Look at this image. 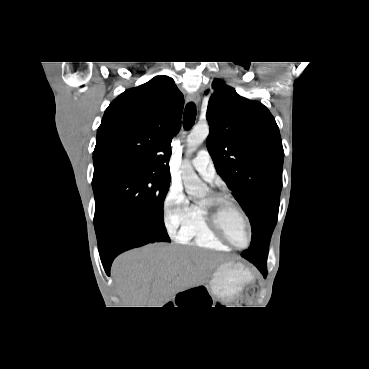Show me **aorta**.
Returning <instances> with one entry per match:
<instances>
[{"mask_svg": "<svg viewBox=\"0 0 369 369\" xmlns=\"http://www.w3.org/2000/svg\"><path fill=\"white\" fill-rule=\"evenodd\" d=\"M208 135V125H196L193 128L187 136V157L198 148ZM181 175L188 195L202 197L206 194L208 190L206 184L198 178L188 159H185L181 166Z\"/></svg>", "mask_w": 369, "mask_h": 369, "instance_id": "obj_1", "label": "aorta"}]
</instances>
